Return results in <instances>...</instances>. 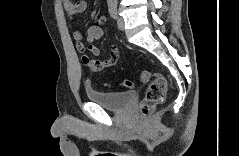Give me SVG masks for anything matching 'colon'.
Listing matches in <instances>:
<instances>
[{
    "mask_svg": "<svg viewBox=\"0 0 239 156\" xmlns=\"http://www.w3.org/2000/svg\"><path fill=\"white\" fill-rule=\"evenodd\" d=\"M139 79L143 83L150 82L140 106L142 114L148 115L157 105L163 103L167 82L161 74L152 73L148 70H141L139 72ZM133 85L131 80H125L119 84V86L124 88H132Z\"/></svg>",
    "mask_w": 239,
    "mask_h": 156,
    "instance_id": "1",
    "label": "colon"
}]
</instances>
